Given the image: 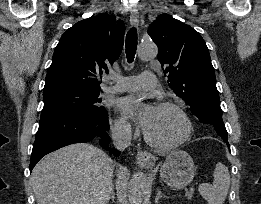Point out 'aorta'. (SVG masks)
<instances>
[{
    "label": "aorta",
    "mask_w": 261,
    "mask_h": 204,
    "mask_svg": "<svg viewBox=\"0 0 261 204\" xmlns=\"http://www.w3.org/2000/svg\"><path fill=\"white\" fill-rule=\"evenodd\" d=\"M138 56L141 60H149L157 56L158 49L154 43H142L138 47ZM146 175L137 172L129 183L128 198L130 204H141L146 191Z\"/></svg>",
    "instance_id": "obj_1"
}]
</instances>
